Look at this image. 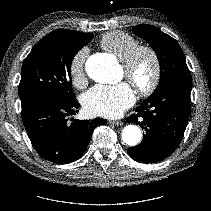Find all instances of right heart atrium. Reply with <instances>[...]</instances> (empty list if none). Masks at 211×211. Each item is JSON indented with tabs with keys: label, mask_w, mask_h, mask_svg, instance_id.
Here are the masks:
<instances>
[{
	"label": "right heart atrium",
	"mask_w": 211,
	"mask_h": 211,
	"mask_svg": "<svg viewBox=\"0 0 211 211\" xmlns=\"http://www.w3.org/2000/svg\"><path fill=\"white\" fill-rule=\"evenodd\" d=\"M88 54L89 49L82 47L73 54L69 63V73L72 84L77 88H82L87 83L85 64Z\"/></svg>",
	"instance_id": "obj_1"
}]
</instances>
